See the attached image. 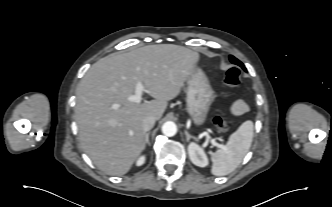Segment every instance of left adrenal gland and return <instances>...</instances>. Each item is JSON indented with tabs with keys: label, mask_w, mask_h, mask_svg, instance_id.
Listing matches in <instances>:
<instances>
[{
	"label": "left adrenal gland",
	"mask_w": 332,
	"mask_h": 207,
	"mask_svg": "<svg viewBox=\"0 0 332 207\" xmlns=\"http://www.w3.org/2000/svg\"><path fill=\"white\" fill-rule=\"evenodd\" d=\"M185 136L187 141H189L191 138L195 139V137L190 135L188 131H185Z\"/></svg>",
	"instance_id": "a2214340"
}]
</instances>
